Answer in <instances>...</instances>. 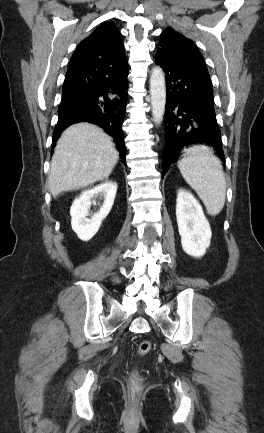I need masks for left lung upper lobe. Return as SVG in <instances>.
Wrapping results in <instances>:
<instances>
[{
	"mask_svg": "<svg viewBox=\"0 0 264 433\" xmlns=\"http://www.w3.org/2000/svg\"><path fill=\"white\" fill-rule=\"evenodd\" d=\"M157 56L180 68L207 73L204 58L194 42L170 27L161 34Z\"/></svg>",
	"mask_w": 264,
	"mask_h": 433,
	"instance_id": "5c2ea615",
	"label": "left lung upper lobe"
}]
</instances>
